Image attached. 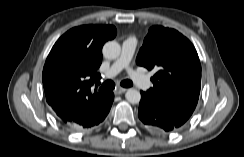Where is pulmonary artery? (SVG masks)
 Returning a JSON list of instances; mask_svg holds the SVG:
<instances>
[{
  "instance_id": "obj_1",
  "label": "pulmonary artery",
  "mask_w": 244,
  "mask_h": 157,
  "mask_svg": "<svg viewBox=\"0 0 244 157\" xmlns=\"http://www.w3.org/2000/svg\"><path fill=\"white\" fill-rule=\"evenodd\" d=\"M137 46V40L134 37L125 39L122 43V51L120 57L112 64V66L103 74L104 79H111L120 71L126 69L133 82L142 89L150 87V80L137 71L130 68V62Z\"/></svg>"
}]
</instances>
